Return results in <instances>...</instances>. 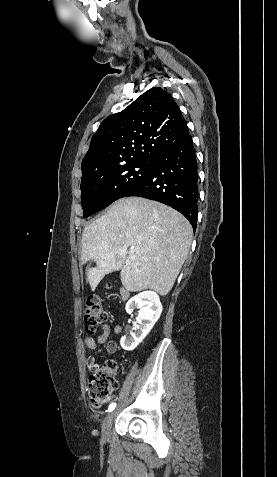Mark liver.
I'll use <instances>...</instances> for the list:
<instances>
[{
	"instance_id": "liver-1",
	"label": "liver",
	"mask_w": 277,
	"mask_h": 477,
	"mask_svg": "<svg viewBox=\"0 0 277 477\" xmlns=\"http://www.w3.org/2000/svg\"><path fill=\"white\" fill-rule=\"evenodd\" d=\"M192 236L188 220L165 204L141 197L116 201L82 233V262L96 263L87 270L92 290L106 274L121 270L126 290L152 289L167 295L188 255Z\"/></svg>"
}]
</instances>
